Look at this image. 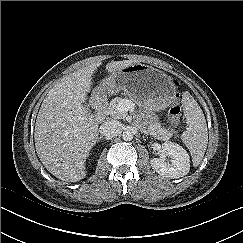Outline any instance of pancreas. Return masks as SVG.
<instances>
[{
  "label": "pancreas",
  "mask_w": 243,
  "mask_h": 243,
  "mask_svg": "<svg viewBox=\"0 0 243 243\" xmlns=\"http://www.w3.org/2000/svg\"><path fill=\"white\" fill-rule=\"evenodd\" d=\"M126 99L121 97H116L112 99L109 106L106 109V113L113 119H122L126 117V112H120L117 107L120 103L125 102ZM148 133L159 140H168L172 137V133L161 127L160 124L155 123L150 125L148 128Z\"/></svg>",
  "instance_id": "obj_1"
}]
</instances>
